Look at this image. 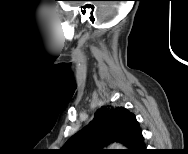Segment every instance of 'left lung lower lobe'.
Instances as JSON below:
<instances>
[{
  "mask_svg": "<svg viewBox=\"0 0 188 154\" xmlns=\"http://www.w3.org/2000/svg\"><path fill=\"white\" fill-rule=\"evenodd\" d=\"M124 145L128 148L125 150L127 154H134L145 150L143 136L135 116L132 117L129 123L128 134Z\"/></svg>",
  "mask_w": 188,
  "mask_h": 154,
  "instance_id": "1",
  "label": "left lung lower lobe"
}]
</instances>
